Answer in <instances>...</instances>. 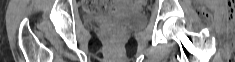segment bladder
<instances>
[{"mask_svg": "<svg viewBox=\"0 0 235 62\" xmlns=\"http://www.w3.org/2000/svg\"><path fill=\"white\" fill-rule=\"evenodd\" d=\"M110 17L126 24L129 27H139L145 22V16L142 11L129 2L120 3ZM105 18L106 17L104 15H87V20L92 23H98Z\"/></svg>", "mask_w": 235, "mask_h": 62, "instance_id": "1", "label": "bladder"}]
</instances>
